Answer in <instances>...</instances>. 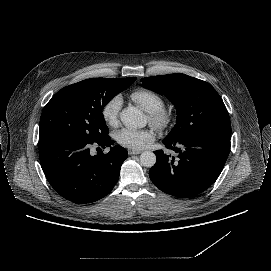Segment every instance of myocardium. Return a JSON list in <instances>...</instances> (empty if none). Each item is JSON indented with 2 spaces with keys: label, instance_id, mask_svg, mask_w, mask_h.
<instances>
[{
  "label": "myocardium",
  "instance_id": "obj_1",
  "mask_svg": "<svg viewBox=\"0 0 271 271\" xmlns=\"http://www.w3.org/2000/svg\"><path fill=\"white\" fill-rule=\"evenodd\" d=\"M149 122L156 129H165L167 128L172 120L173 114L166 108H161L148 114Z\"/></svg>",
  "mask_w": 271,
  "mask_h": 271
}]
</instances>
